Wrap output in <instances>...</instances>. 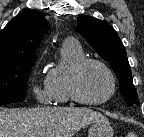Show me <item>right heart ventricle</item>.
I'll return each instance as SVG.
<instances>
[{"instance_id":"right-heart-ventricle-1","label":"right heart ventricle","mask_w":144,"mask_h":137,"mask_svg":"<svg viewBox=\"0 0 144 137\" xmlns=\"http://www.w3.org/2000/svg\"><path fill=\"white\" fill-rule=\"evenodd\" d=\"M85 58L81 45L75 40H66L60 49L58 63L51 67L46 81L56 104L69 103L72 98L69 90V77L72 69Z\"/></svg>"}]
</instances>
